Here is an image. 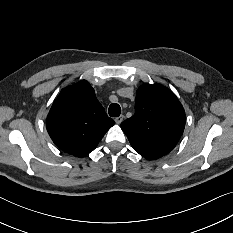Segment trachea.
<instances>
[{
  "label": "trachea",
  "instance_id": "3493384b",
  "mask_svg": "<svg viewBox=\"0 0 233 233\" xmlns=\"http://www.w3.org/2000/svg\"><path fill=\"white\" fill-rule=\"evenodd\" d=\"M108 113L111 117H118L121 113V107L117 103H113L109 106Z\"/></svg>",
  "mask_w": 233,
  "mask_h": 233
}]
</instances>
